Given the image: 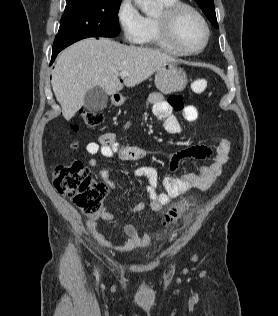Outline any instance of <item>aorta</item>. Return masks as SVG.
<instances>
[{
    "label": "aorta",
    "mask_w": 278,
    "mask_h": 316,
    "mask_svg": "<svg viewBox=\"0 0 278 316\" xmlns=\"http://www.w3.org/2000/svg\"><path fill=\"white\" fill-rule=\"evenodd\" d=\"M134 2L138 8L148 16L155 15L159 11L155 0H134Z\"/></svg>",
    "instance_id": "1"
}]
</instances>
